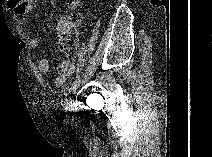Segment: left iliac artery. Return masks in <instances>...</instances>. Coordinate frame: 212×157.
I'll return each mask as SVG.
<instances>
[{"label":"left iliac artery","instance_id":"1","mask_svg":"<svg viewBox=\"0 0 212 157\" xmlns=\"http://www.w3.org/2000/svg\"><path fill=\"white\" fill-rule=\"evenodd\" d=\"M78 86V83L75 82L73 83L70 87H68L66 90H65V95H68L71 91L75 90L76 87Z\"/></svg>","mask_w":212,"mask_h":157}]
</instances>
